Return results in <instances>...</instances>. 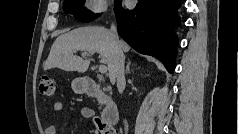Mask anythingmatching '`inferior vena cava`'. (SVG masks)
I'll return each mask as SVG.
<instances>
[{
	"mask_svg": "<svg viewBox=\"0 0 239 134\" xmlns=\"http://www.w3.org/2000/svg\"><path fill=\"white\" fill-rule=\"evenodd\" d=\"M110 31L115 43L112 73L115 79L117 80L118 91L122 93L125 87V76H124L125 56L123 54V51L118 46L119 38H118L117 30L114 24H112Z\"/></svg>",
	"mask_w": 239,
	"mask_h": 134,
	"instance_id": "602c4592",
	"label": "inferior vena cava"
}]
</instances>
